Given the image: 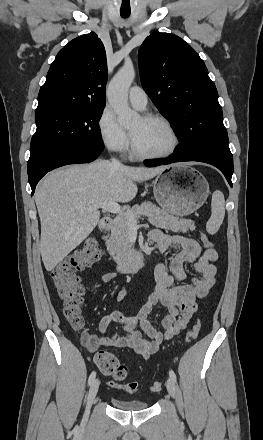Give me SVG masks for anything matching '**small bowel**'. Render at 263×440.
Listing matches in <instances>:
<instances>
[{"mask_svg":"<svg viewBox=\"0 0 263 440\" xmlns=\"http://www.w3.org/2000/svg\"><path fill=\"white\" fill-rule=\"evenodd\" d=\"M149 240L158 246L162 254L170 249H174L175 254L169 264L164 261L157 263L154 271L155 291L136 315L130 316L114 310L101 319L98 325L101 336L91 338L87 345L90 351L99 348H129L148 359L164 341L187 327L197 313V300L205 297L212 289L217 273L214 262L218 258L214 248L202 251L194 239L179 234H164L160 230L151 231ZM186 263L191 264L199 276H189L184 268ZM116 279V272H107L100 276V281L104 284ZM125 297L126 290L122 287L116 299L123 301ZM158 304L168 310L161 322L165 332L158 331L149 321V315ZM113 322L121 324L123 333L106 336L108 327Z\"/></svg>","mask_w":263,"mask_h":440,"instance_id":"small-bowel-1","label":"small bowel"}]
</instances>
